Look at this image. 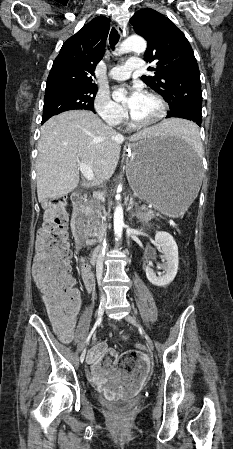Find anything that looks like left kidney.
Listing matches in <instances>:
<instances>
[{"label": "left kidney", "mask_w": 233, "mask_h": 449, "mask_svg": "<svg viewBox=\"0 0 233 449\" xmlns=\"http://www.w3.org/2000/svg\"><path fill=\"white\" fill-rule=\"evenodd\" d=\"M155 241L166 260L162 266L164 272L156 274V272L148 265L146 267V276L153 285L164 287L170 284L177 274L179 263L178 246L173 236L163 231H158L156 233Z\"/></svg>", "instance_id": "left-kidney-1"}]
</instances>
